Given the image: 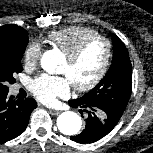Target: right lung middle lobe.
Returning a JSON list of instances; mask_svg holds the SVG:
<instances>
[{
  "label": "right lung middle lobe",
  "mask_w": 153,
  "mask_h": 153,
  "mask_svg": "<svg viewBox=\"0 0 153 153\" xmlns=\"http://www.w3.org/2000/svg\"><path fill=\"white\" fill-rule=\"evenodd\" d=\"M28 43V35L14 39H0V93L8 92L13 75L22 71L21 59Z\"/></svg>",
  "instance_id": "dd1d6c3e"
}]
</instances>
